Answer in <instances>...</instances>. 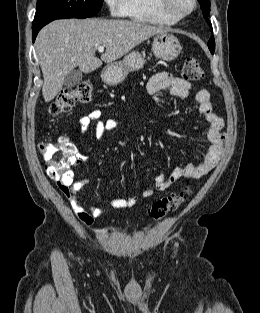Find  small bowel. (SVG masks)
Instances as JSON below:
<instances>
[{
    "label": "small bowel",
    "instance_id": "1",
    "mask_svg": "<svg viewBox=\"0 0 260 313\" xmlns=\"http://www.w3.org/2000/svg\"><path fill=\"white\" fill-rule=\"evenodd\" d=\"M147 92L151 96L152 103L158 104L161 100L160 93L167 92L169 95L178 98H186L190 94L191 84L182 77L169 73H157L153 75L147 82ZM196 101L199 105V111L209 124L207 138L209 146L207 152L198 165L187 164L176 167L169 176L163 173L155 177L154 188H147L142 192L143 198H150L155 191L163 192L168 190L175 182L181 178L200 179L209 174L218 164L225 147V136L222 131L223 120L218 116L210 101L208 90L202 88L196 93ZM101 111L93 109L78 120L81 131L84 133L88 130L92 123H95L97 137L101 138L108 132L119 126L116 119L101 120ZM81 156L77 154L74 164H79ZM58 187L69 206L72 208L77 218L85 225L90 226L93 222L101 217L106 208L126 209L135 206L138 202L137 197L116 198L104 202V207L89 206L85 208L79 201L77 192L81 184L75 181V173L69 170L58 182Z\"/></svg>",
    "mask_w": 260,
    "mask_h": 313
}]
</instances>
